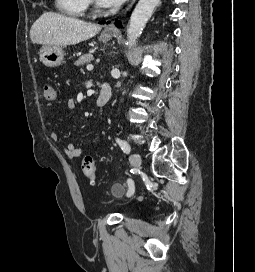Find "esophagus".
Instances as JSON below:
<instances>
[{"label": "esophagus", "mask_w": 255, "mask_h": 272, "mask_svg": "<svg viewBox=\"0 0 255 272\" xmlns=\"http://www.w3.org/2000/svg\"><path fill=\"white\" fill-rule=\"evenodd\" d=\"M134 2H135V0H132V2L130 3V5L126 8L124 14L132 7V5L134 4ZM106 31L110 32V33H114V32H117V29H116L115 25H111L108 28H106Z\"/></svg>", "instance_id": "esophagus-1"}]
</instances>
